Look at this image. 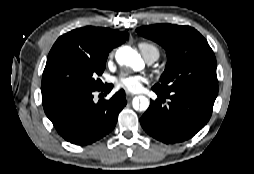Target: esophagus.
<instances>
[{
    "mask_svg": "<svg viewBox=\"0 0 254 174\" xmlns=\"http://www.w3.org/2000/svg\"><path fill=\"white\" fill-rule=\"evenodd\" d=\"M135 95L134 94H131L129 92L126 93V99L129 101L131 100Z\"/></svg>",
    "mask_w": 254,
    "mask_h": 174,
    "instance_id": "esophagus-1",
    "label": "esophagus"
}]
</instances>
